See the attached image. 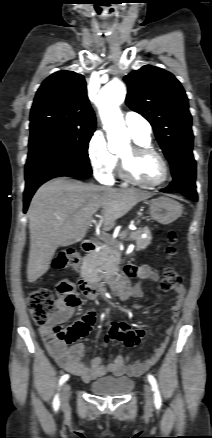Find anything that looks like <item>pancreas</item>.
<instances>
[{"mask_svg":"<svg viewBox=\"0 0 212 438\" xmlns=\"http://www.w3.org/2000/svg\"><path fill=\"white\" fill-rule=\"evenodd\" d=\"M143 232L147 234L146 238H143L142 231L131 232L129 234V240L135 241L136 250H144L151 243L152 236L149 229L144 228ZM120 260V253L118 249V244L115 241L106 242L98 252H94L86 257L87 267H102L108 270H112L116 267Z\"/></svg>","mask_w":212,"mask_h":438,"instance_id":"obj_1","label":"pancreas"}]
</instances>
